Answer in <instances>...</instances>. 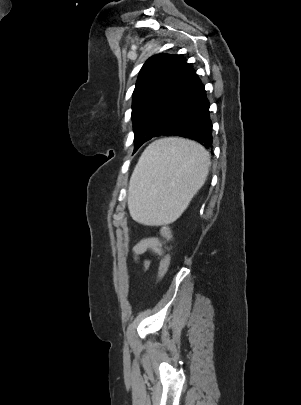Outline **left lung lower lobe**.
<instances>
[{
    "instance_id": "left-lung-lower-lobe-1",
    "label": "left lung lower lobe",
    "mask_w": 301,
    "mask_h": 405,
    "mask_svg": "<svg viewBox=\"0 0 301 405\" xmlns=\"http://www.w3.org/2000/svg\"><path fill=\"white\" fill-rule=\"evenodd\" d=\"M159 136H180L199 142L212 149V122L209 117V102L204 85L192 70L188 84L169 110L158 129L150 136L139 139L134 152L146 141Z\"/></svg>"
}]
</instances>
